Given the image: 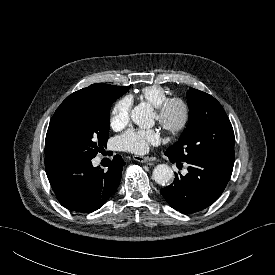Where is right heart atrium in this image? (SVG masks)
<instances>
[{"mask_svg": "<svg viewBox=\"0 0 275 275\" xmlns=\"http://www.w3.org/2000/svg\"><path fill=\"white\" fill-rule=\"evenodd\" d=\"M131 105L132 99L130 97H123L115 103L110 117V125L113 129L119 130L128 124Z\"/></svg>", "mask_w": 275, "mask_h": 275, "instance_id": "obj_1", "label": "right heart atrium"}]
</instances>
